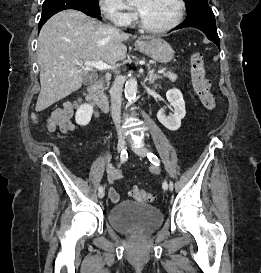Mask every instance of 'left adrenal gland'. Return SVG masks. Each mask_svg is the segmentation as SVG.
<instances>
[{"label":"left adrenal gland","mask_w":261,"mask_h":273,"mask_svg":"<svg viewBox=\"0 0 261 273\" xmlns=\"http://www.w3.org/2000/svg\"><path fill=\"white\" fill-rule=\"evenodd\" d=\"M162 78L160 75L155 74L153 71H149V84H153L155 80Z\"/></svg>","instance_id":"a2214340"}]
</instances>
